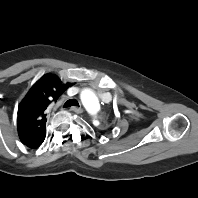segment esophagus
Here are the masks:
<instances>
[{
  "label": "esophagus",
  "mask_w": 198,
  "mask_h": 198,
  "mask_svg": "<svg viewBox=\"0 0 198 198\" xmlns=\"http://www.w3.org/2000/svg\"><path fill=\"white\" fill-rule=\"evenodd\" d=\"M71 111H74L76 113H82L83 112V108L81 106H72L70 108Z\"/></svg>",
  "instance_id": "34e87169"
}]
</instances>
